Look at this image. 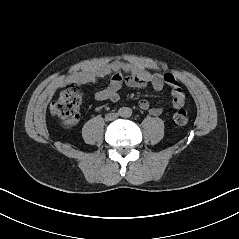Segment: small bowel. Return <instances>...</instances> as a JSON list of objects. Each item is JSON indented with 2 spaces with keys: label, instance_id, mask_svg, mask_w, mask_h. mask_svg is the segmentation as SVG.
Listing matches in <instances>:
<instances>
[{
  "label": "small bowel",
  "instance_id": "c3829d8e",
  "mask_svg": "<svg viewBox=\"0 0 239 239\" xmlns=\"http://www.w3.org/2000/svg\"><path fill=\"white\" fill-rule=\"evenodd\" d=\"M110 75V83L103 89L96 92L95 97L99 101L116 102L119 100V90L125 84L129 87L141 88L150 84L155 90H161L165 86L171 88L172 106L175 109L182 108L185 104V94L179 86L176 77L172 74L152 73L144 69L138 63H125L114 61L97 69L80 70L72 76L80 82H93L99 76ZM139 107L148 111L153 116L162 113L161 107L151 106L147 100H141Z\"/></svg>",
  "mask_w": 239,
  "mask_h": 239
}]
</instances>
